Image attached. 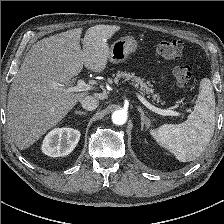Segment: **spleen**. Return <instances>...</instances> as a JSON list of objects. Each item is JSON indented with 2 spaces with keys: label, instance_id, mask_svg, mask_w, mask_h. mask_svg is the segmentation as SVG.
Listing matches in <instances>:
<instances>
[{
  "label": "spleen",
  "instance_id": "1",
  "mask_svg": "<svg viewBox=\"0 0 224 224\" xmlns=\"http://www.w3.org/2000/svg\"><path fill=\"white\" fill-rule=\"evenodd\" d=\"M215 126V95L211 81L203 78L193 112L181 124H164L150 130L152 137L181 162L198 157L209 144Z\"/></svg>",
  "mask_w": 224,
  "mask_h": 224
}]
</instances>
